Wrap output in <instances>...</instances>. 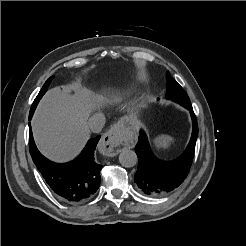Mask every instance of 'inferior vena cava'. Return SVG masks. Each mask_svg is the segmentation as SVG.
<instances>
[{"mask_svg":"<svg viewBox=\"0 0 246 246\" xmlns=\"http://www.w3.org/2000/svg\"><path fill=\"white\" fill-rule=\"evenodd\" d=\"M105 125V116L101 113L92 115L88 120V127L94 133H99Z\"/></svg>","mask_w":246,"mask_h":246,"instance_id":"inferior-vena-cava-1","label":"inferior vena cava"}]
</instances>
